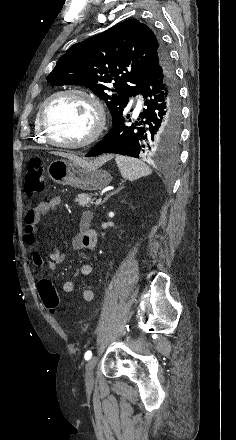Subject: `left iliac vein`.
Masks as SVG:
<instances>
[{
	"instance_id": "obj_1",
	"label": "left iliac vein",
	"mask_w": 236,
	"mask_h": 440,
	"mask_svg": "<svg viewBox=\"0 0 236 440\" xmlns=\"http://www.w3.org/2000/svg\"><path fill=\"white\" fill-rule=\"evenodd\" d=\"M97 361H98V358L94 356L86 364L85 382H86V386L88 388L93 387V384H94L93 372H94V368L97 364Z\"/></svg>"
}]
</instances>
